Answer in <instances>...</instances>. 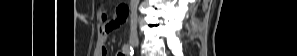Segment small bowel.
<instances>
[{
  "label": "small bowel",
  "mask_w": 297,
  "mask_h": 56,
  "mask_svg": "<svg viewBox=\"0 0 297 56\" xmlns=\"http://www.w3.org/2000/svg\"><path fill=\"white\" fill-rule=\"evenodd\" d=\"M126 17H127V10L124 7H119L117 9L113 19H108L105 15H103V24L99 28V35H98L96 47L94 50L95 56L108 55V49L106 46L108 34L112 30L119 27V25L125 21ZM119 56H124V54L120 53Z\"/></svg>",
  "instance_id": "1"
}]
</instances>
